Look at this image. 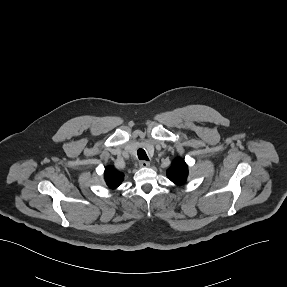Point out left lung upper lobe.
<instances>
[{
    "label": "left lung upper lobe",
    "instance_id": "1",
    "mask_svg": "<svg viewBox=\"0 0 287 287\" xmlns=\"http://www.w3.org/2000/svg\"><path fill=\"white\" fill-rule=\"evenodd\" d=\"M188 166L181 158H176L167 170V177L175 184H183L187 180Z\"/></svg>",
    "mask_w": 287,
    "mask_h": 287
}]
</instances>
